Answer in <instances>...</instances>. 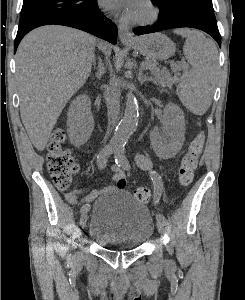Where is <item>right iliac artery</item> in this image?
<instances>
[{
  "instance_id": "82829eb1",
  "label": "right iliac artery",
  "mask_w": 245,
  "mask_h": 300,
  "mask_svg": "<svg viewBox=\"0 0 245 300\" xmlns=\"http://www.w3.org/2000/svg\"><path fill=\"white\" fill-rule=\"evenodd\" d=\"M115 147L112 145L105 146L98 154L97 156V165L100 169H103L106 165V162L111 154L114 153ZM89 204H85L82 206L80 213H85L89 211Z\"/></svg>"
}]
</instances>
